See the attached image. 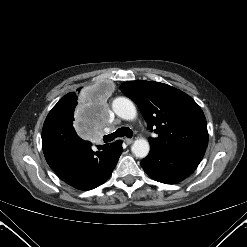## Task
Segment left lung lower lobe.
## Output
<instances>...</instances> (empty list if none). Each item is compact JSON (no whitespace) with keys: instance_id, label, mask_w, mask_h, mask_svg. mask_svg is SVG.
Listing matches in <instances>:
<instances>
[{"instance_id":"1","label":"left lung lower lobe","mask_w":247,"mask_h":247,"mask_svg":"<svg viewBox=\"0 0 247 247\" xmlns=\"http://www.w3.org/2000/svg\"><path fill=\"white\" fill-rule=\"evenodd\" d=\"M205 149L197 146L176 149L150 146V153L141 161V166L152 179L175 184L193 173L201 162Z\"/></svg>"}]
</instances>
